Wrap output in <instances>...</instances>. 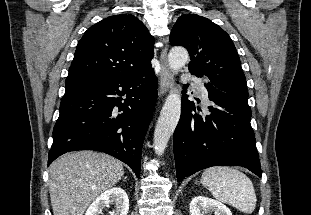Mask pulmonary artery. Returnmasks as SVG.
I'll return each instance as SVG.
<instances>
[{"mask_svg": "<svg viewBox=\"0 0 311 215\" xmlns=\"http://www.w3.org/2000/svg\"><path fill=\"white\" fill-rule=\"evenodd\" d=\"M194 84L197 94L205 100L208 99V92L204 83L200 80H194Z\"/></svg>", "mask_w": 311, "mask_h": 215, "instance_id": "e3ab8cb5", "label": "pulmonary artery"}]
</instances>
